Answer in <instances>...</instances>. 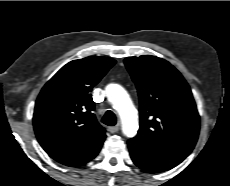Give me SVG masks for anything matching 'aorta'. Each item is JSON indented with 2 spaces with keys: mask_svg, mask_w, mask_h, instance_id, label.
<instances>
[{
  "mask_svg": "<svg viewBox=\"0 0 230 186\" xmlns=\"http://www.w3.org/2000/svg\"><path fill=\"white\" fill-rule=\"evenodd\" d=\"M106 95L121 118L123 134L127 137L135 136L139 128L138 116L126 90L118 84H109Z\"/></svg>",
  "mask_w": 230,
  "mask_h": 186,
  "instance_id": "aorta-1",
  "label": "aorta"
}]
</instances>
